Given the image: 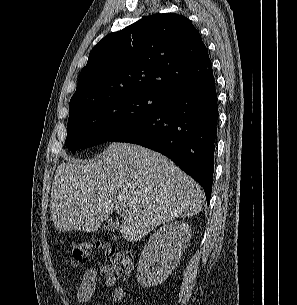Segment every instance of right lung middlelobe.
<instances>
[{
    "mask_svg": "<svg viewBox=\"0 0 297 305\" xmlns=\"http://www.w3.org/2000/svg\"><path fill=\"white\" fill-rule=\"evenodd\" d=\"M162 95L127 92L102 98L70 111L66 146L72 152L110 140L151 114Z\"/></svg>",
    "mask_w": 297,
    "mask_h": 305,
    "instance_id": "right-lung-middle-lobe-1",
    "label": "right lung middle lobe"
}]
</instances>
